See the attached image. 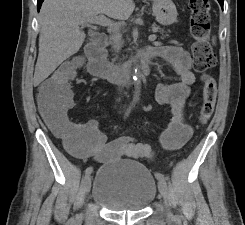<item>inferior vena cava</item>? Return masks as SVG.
<instances>
[{"label":"inferior vena cava","mask_w":245,"mask_h":225,"mask_svg":"<svg viewBox=\"0 0 245 225\" xmlns=\"http://www.w3.org/2000/svg\"><path fill=\"white\" fill-rule=\"evenodd\" d=\"M111 40L115 51H119L122 46L121 36L119 34H115L111 37Z\"/></svg>","instance_id":"602c4592"}]
</instances>
